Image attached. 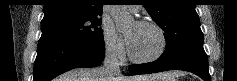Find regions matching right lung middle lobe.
<instances>
[{
	"label": "right lung middle lobe",
	"instance_id": "dd1d6c3e",
	"mask_svg": "<svg viewBox=\"0 0 237 81\" xmlns=\"http://www.w3.org/2000/svg\"><path fill=\"white\" fill-rule=\"evenodd\" d=\"M97 16L61 15L45 18L41 22V37H58L86 43L102 42V29L98 27L101 19Z\"/></svg>",
	"mask_w": 237,
	"mask_h": 81
}]
</instances>
